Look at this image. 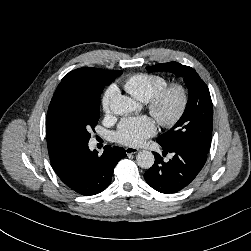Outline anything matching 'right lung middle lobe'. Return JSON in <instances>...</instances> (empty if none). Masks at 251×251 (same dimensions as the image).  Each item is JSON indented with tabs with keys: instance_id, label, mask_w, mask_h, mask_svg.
I'll use <instances>...</instances> for the list:
<instances>
[{
	"instance_id": "right-lung-middle-lobe-1",
	"label": "right lung middle lobe",
	"mask_w": 251,
	"mask_h": 251,
	"mask_svg": "<svg viewBox=\"0 0 251 251\" xmlns=\"http://www.w3.org/2000/svg\"><path fill=\"white\" fill-rule=\"evenodd\" d=\"M122 71L93 73L77 77L67 84L62 120L75 144L88 143L100 117V96L105 85Z\"/></svg>"
}]
</instances>
